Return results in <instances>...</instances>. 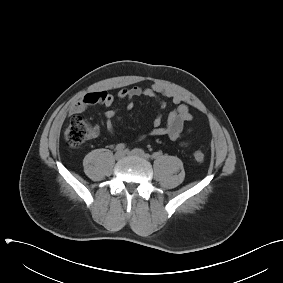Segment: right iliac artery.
Listing matches in <instances>:
<instances>
[{"instance_id": "obj_1", "label": "right iliac artery", "mask_w": 283, "mask_h": 283, "mask_svg": "<svg viewBox=\"0 0 283 283\" xmlns=\"http://www.w3.org/2000/svg\"><path fill=\"white\" fill-rule=\"evenodd\" d=\"M125 144H123V143H120V144H118L117 146H116V150L117 151H123L124 149H125Z\"/></svg>"}]
</instances>
